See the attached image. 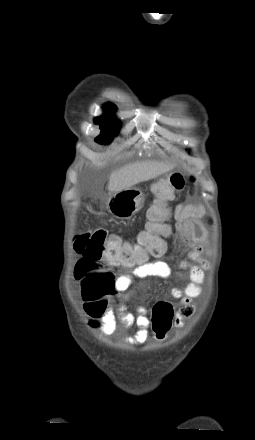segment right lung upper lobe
<instances>
[{
  "mask_svg": "<svg viewBox=\"0 0 255 440\" xmlns=\"http://www.w3.org/2000/svg\"><path fill=\"white\" fill-rule=\"evenodd\" d=\"M105 107L114 108L111 104H107Z\"/></svg>",
  "mask_w": 255,
  "mask_h": 440,
  "instance_id": "cb5924a9",
  "label": "right lung upper lobe"
}]
</instances>
